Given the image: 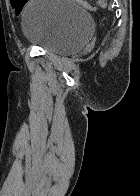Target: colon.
Returning a JSON list of instances; mask_svg holds the SVG:
<instances>
[{
    "label": "colon",
    "instance_id": "obj_1",
    "mask_svg": "<svg viewBox=\"0 0 140 196\" xmlns=\"http://www.w3.org/2000/svg\"><path fill=\"white\" fill-rule=\"evenodd\" d=\"M77 1L79 4L83 5L84 7L90 9V10H94V7L92 5H90L88 2H86L85 0H75ZM12 2L14 4H17L19 2V0H12Z\"/></svg>",
    "mask_w": 140,
    "mask_h": 196
}]
</instances>
